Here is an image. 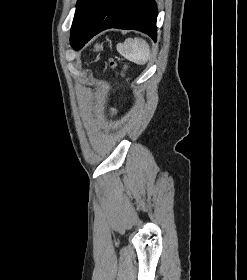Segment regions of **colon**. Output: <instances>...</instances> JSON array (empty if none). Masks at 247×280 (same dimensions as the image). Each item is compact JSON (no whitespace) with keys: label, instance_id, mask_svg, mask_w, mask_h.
Masks as SVG:
<instances>
[{"label":"colon","instance_id":"colon-1","mask_svg":"<svg viewBox=\"0 0 247 280\" xmlns=\"http://www.w3.org/2000/svg\"><path fill=\"white\" fill-rule=\"evenodd\" d=\"M116 66L115 62L114 61H111L110 62V67L114 68Z\"/></svg>","mask_w":247,"mask_h":280}]
</instances>
